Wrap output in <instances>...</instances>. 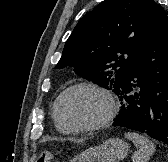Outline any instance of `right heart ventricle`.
<instances>
[{"instance_id": "right-heart-ventricle-1", "label": "right heart ventricle", "mask_w": 168, "mask_h": 162, "mask_svg": "<svg viewBox=\"0 0 168 162\" xmlns=\"http://www.w3.org/2000/svg\"><path fill=\"white\" fill-rule=\"evenodd\" d=\"M53 118H54V124H55L56 129H57L60 133H63V134L68 133V131H66L65 129H63V128L57 123V121L55 120L54 114H53Z\"/></svg>"}]
</instances>
